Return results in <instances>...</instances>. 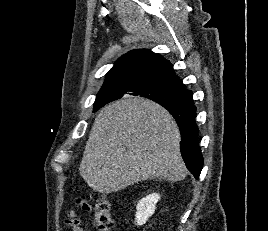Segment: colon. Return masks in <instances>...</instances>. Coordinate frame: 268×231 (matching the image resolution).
I'll return each mask as SVG.
<instances>
[{
	"label": "colon",
	"instance_id": "colon-1",
	"mask_svg": "<svg viewBox=\"0 0 268 231\" xmlns=\"http://www.w3.org/2000/svg\"><path fill=\"white\" fill-rule=\"evenodd\" d=\"M92 199L95 202L92 219L98 231H112L113 221L109 201L98 191L92 193Z\"/></svg>",
	"mask_w": 268,
	"mask_h": 231
}]
</instances>
